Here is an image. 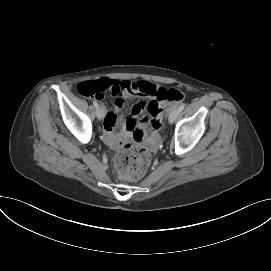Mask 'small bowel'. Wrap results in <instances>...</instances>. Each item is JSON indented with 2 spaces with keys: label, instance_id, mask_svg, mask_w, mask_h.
Segmentation results:
<instances>
[{
  "label": "small bowel",
  "instance_id": "1",
  "mask_svg": "<svg viewBox=\"0 0 271 271\" xmlns=\"http://www.w3.org/2000/svg\"><path fill=\"white\" fill-rule=\"evenodd\" d=\"M107 82L110 86V92L115 96L114 109L106 111L104 115V138L108 145L117 146L119 143L127 137H133L139 141L143 137V131L148 124L152 130V142L157 140V131L154 129L152 123L157 121L161 124L164 109L167 105V101L160 99L158 93L165 88L148 82V81H128V80H109ZM103 97V96H102ZM99 98V99H102ZM134 97H143L149 99L148 102H139L133 105L131 115L128 118L118 117V112L124 106V99H131ZM147 111L152 120L149 121L147 117H143L141 120L136 121L141 113ZM122 126L120 133H115V128L118 125Z\"/></svg>",
  "mask_w": 271,
  "mask_h": 271
}]
</instances>
